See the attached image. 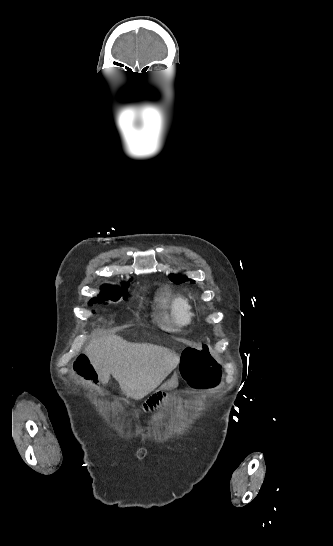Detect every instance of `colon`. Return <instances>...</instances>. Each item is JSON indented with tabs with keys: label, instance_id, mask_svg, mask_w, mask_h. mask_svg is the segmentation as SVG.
Returning a JSON list of instances; mask_svg holds the SVG:
<instances>
[{
	"label": "colon",
	"instance_id": "colon-1",
	"mask_svg": "<svg viewBox=\"0 0 333 546\" xmlns=\"http://www.w3.org/2000/svg\"><path fill=\"white\" fill-rule=\"evenodd\" d=\"M73 369L87 380L85 383L94 385V380L98 378L96 367L88 363L85 355H79L73 362ZM183 377L193 386L201 389H209L217 386L221 380L219 364L213 357L207 345L190 347L184 350L181 365ZM163 394L158 393L151 397L148 402H142L141 408L147 409L159 404ZM137 411V408H134Z\"/></svg>",
	"mask_w": 333,
	"mask_h": 546
}]
</instances>
